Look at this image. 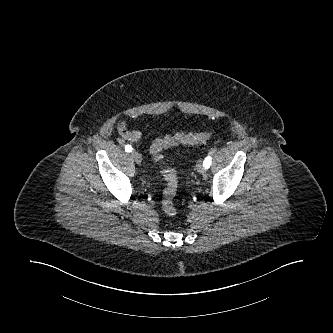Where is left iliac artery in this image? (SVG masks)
I'll return each mask as SVG.
<instances>
[{"mask_svg": "<svg viewBox=\"0 0 333 333\" xmlns=\"http://www.w3.org/2000/svg\"><path fill=\"white\" fill-rule=\"evenodd\" d=\"M211 162H212V157L210 155H208L205 160L203 161V166L205 169H208L211 166Z\"/></svg>", "mask_w": 333, "mask_h": 333, "instance_id": "left-iliac-artery-1", "label": "left iliac artery"}]
</instances>
